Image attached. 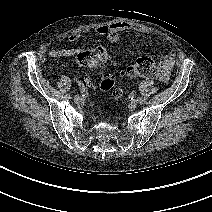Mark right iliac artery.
<instances>
[{"label":"right iliac artery","mask_w":212,"mask_h":212,"mask_svg":"<svg viewBox=\"0 0 212 212\" xmlns=\"http://www.w3.org/2000/svg\"><path fill=\"white\" fill-rule=\"evenodd\" d=\"M65 99L70 100V99H72V97H71L69 94H67V95L65 96Z\"/></svg>","instance_id":"82829eb1"}]
</instances>
